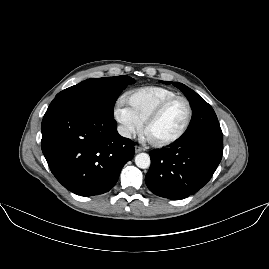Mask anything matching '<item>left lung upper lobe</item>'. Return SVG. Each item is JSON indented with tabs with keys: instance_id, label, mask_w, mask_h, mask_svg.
I'll return each instance as SVG.
<instances>
[{
	"instance_id": "1",
	"label": "left lung upper lobe",
	"mask_w": 269,
	"mask_h": 269,
	"mask_svg": "<svg viewBox=\"0 0 269 269\" xmlns=\"http://www.w3.org/2000/svg\"><path fill=\"white\" fill-rule=\"evenodd\" d=\"M162 82L171 84L169 81ZM174 86L186 95L193 111L192 120L187 131L182 135V139L188 140L208 132H221L220 124L213 108L202 97L182 83L175 82Z\"/></svg>"
}]
</instances>
